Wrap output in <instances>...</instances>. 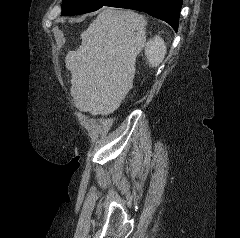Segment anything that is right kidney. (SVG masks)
Listing matches in <instances>:
<instances>
[{"mask_svg": "<svg viewBox=\"0 0 240 238\" xmlns=\"http://www.w3.org/2000/svg\"><path fill=\"white\" fill-rule=\"evenodd\" d=\"M166 54V45L160 36L150 39L145 47V55L149 65L157 67L163 61Z\"/></svg>", "mask_w": 240, "mask_h": 238, "instance_id": "1", "label": "right kidney"}]
</instances>
